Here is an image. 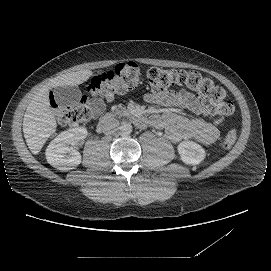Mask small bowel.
<instances>
[{"mask_svg": "<svg viewBox=\"0 0 271 271\" xmlns=\"http://www.w3.org/2000/svg\"><path fill=\"white\" fill-rule=\"evenodd\" d=\"M145 100L148 103L169 108L179 107L195 115L192 118H186L167 112L151 117L152 124L164 129L171 141L178 143L193 139L202 143H213L219 138L222 116H217L194 94L186 90L164 94L149 93L145 96Z\"/></svg>", "mask_w": 271, "mask_h": 271, "instance_id": "1", "label": "small bowel"}]
</instances>
